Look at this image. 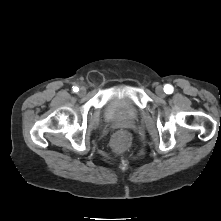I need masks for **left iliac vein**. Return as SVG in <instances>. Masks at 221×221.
I'll return each instance as SVG.
<instances>
[{
  "instance_id": "1",
  "label": "left iliac vein",
  "mask_w": 221,
  "mask_h": 221,
  "mask_svg": "<svg viewBox=\"0 0 221 221\" xmlns=\"http://www.w3.org/2000/svg\"><path fill=\"white\" fill-rule=\"evenodd\" d=\"M155 91H156V94L159 97H164L165 96L164 89H163L162 86H157Z\"/></svg>"
}]
</instances>
